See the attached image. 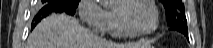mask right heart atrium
Returning a JSON list of instances; mask_svg holds the SVG:
<instances>
[{
	"instance_id": "obj_1",
	"label": "right heart atrium",
	"mask_w": 213,
	"mask_h": 48,
	"mask_svg": "<svg viewBox=\"0 0 213 48\" xmlns=\"http://www.w3.org/2000/svg\"><path fill=\"white\" fill-rule=\"evenodd\" d=\"M81 20L94 32H108L110 13L96 0H82L78 6Z\"/></svg>"
}]
</instances>
